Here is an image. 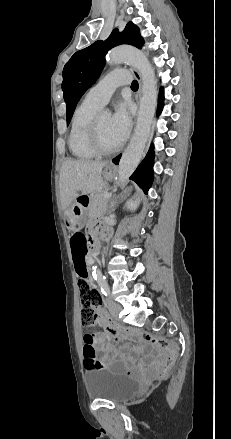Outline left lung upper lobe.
<instances>
[{
    "mask_svg": "<svg viewBox=\"0 0 231 439\" xmlns=\"http://www.w3.org/2000/svg\"><path fill=\"white\" fill-rule=\"evenodd\" d=\"M143 43L144 40L138 27L129 22L123 32L119 33L118 29H115L105 41H96L89 47L77 51L70 58L64 66L62 82L67 125L72 118L77 102L103 70L108 50L121 44H130L141 48Z\"/></svg>",
    "mask_w": 231,
    "mask_h": 439,
    "instance_id": "left-lung-upper-lobe-1",
    "label": "left lung upper lobe"
}]
</instances>
